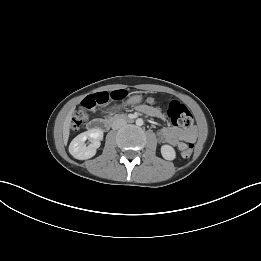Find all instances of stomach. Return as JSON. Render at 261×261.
<instances>
[{"mask_svg":"<svg viewBox=\"0 0 261 261\" xmlns=\"http://www.w3.org/2000/svg\"><path fill=\"white\" fill-rule=\"evenodd\" d=\"M142 99L141 96H132L129 100H128V103L129 104H133V103H138L140 102Z\"/></svg>","mask_w":261,"mask_h":261,"instance_id":"obj_1","label":"stomach"}]
</instances>
